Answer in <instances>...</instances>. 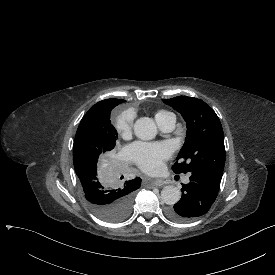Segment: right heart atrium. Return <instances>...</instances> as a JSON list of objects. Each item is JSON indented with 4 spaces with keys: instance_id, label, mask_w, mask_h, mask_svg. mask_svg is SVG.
Instances as JSON below:
<instances>
[{
    "instance_id": "1",
    "label": "right heart atrium",
    "mask_w": 275,
    "mask_h": 275,
    "mask_svg": "<svg viewBox=\"0 0 275 275\" xmlns=\"http://www.w3.org/2000/svg\"><path fill=\"white\" fill-rule=\"evenodd\" d=\"M132 115H123L119 117L115 123V128L118 134L122 137H126L132 128Z\"/></svg>"
}]
</instances>
